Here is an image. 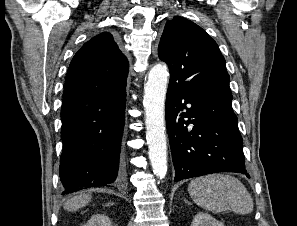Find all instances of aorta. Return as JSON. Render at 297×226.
<instances>
[{
    "label": "aorta",
    "mask_w": 297,
    "mask_h": 226,
    "mask_svg": "<svg viewBox=\"0 0 297 226\" xmlns=\"http://www.w3.org/2000/svg\"><path fill=\"white\" fill-rule=\"evenodd\" d=\"M168 70L164 64L154 65L144 87L146 140L153 172L164 178L167 172V145L164 125Z\"/></svg>",
    "instance_id": "aorta-1"
}]
</instances>
